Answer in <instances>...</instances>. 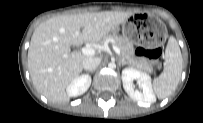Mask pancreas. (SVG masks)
<instances>
[{
    "mask_svg": "<svg viewBox=\"0 0 203 123\" xmlns=\"http://www.w3.org/2000/svg\"><path fill=\"white\" fill-rule=\"evenodd\" d=\"M104 41H111L115 46H117L121 51V56L123 57V59H126L129 64L136 65L139 69L144 70L148 73H151L153 71V66L148 61H137L133 58V45L128 39L122 36L107 35L103 38V42Z\"/></svg>",
    "mask_w": 203,
    "mask_h": 123,
    "instance_id": "pancreas-1",
    "label": "pancreas"
}]
</instances>
